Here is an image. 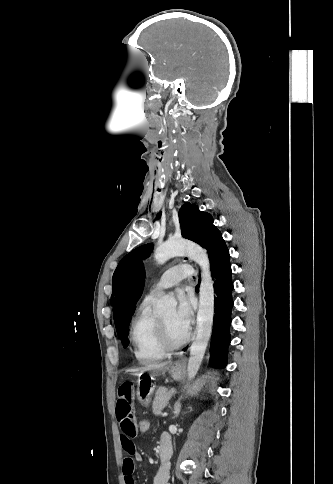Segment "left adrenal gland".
I'll list each match as a JSON object with an SVG mask.
<instances>
[{"instance_id": "a2214340", "label": "left adrenal gland", "mask_w": 333, "mask_h": 484, "mask_svg": "<svg viewBox=\"0 0 333 484\" xmlns=\"http://www.w3.org/2000/svg\"><path fill=\"white\" fill-rule=\"evenodd\" d=\"M180 407H181V406H180V404H177V406H176V408H175V416H174V418H175V417H178V415H179V413H180Z\"/></svg>"}]
</instances>
